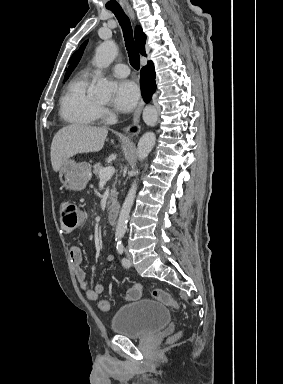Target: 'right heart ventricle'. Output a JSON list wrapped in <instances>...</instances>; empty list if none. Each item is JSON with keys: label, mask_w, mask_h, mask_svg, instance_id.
<instances>
[{"label": "right heart ventricle", "mask_w": 283, "mask_h": 384, "mask_svg": "<svg viewBox=\"0 0 283 384\" xmlns=\"http://www.w3.org/2000/svg\"><path fill=\"white\" fill-rule=\"evenodd\" d=\"M89 75L79 72L68 81L59 102L61 118L73 128L94 126L101 116V108L87 93Z\"/></svg>", "instance_id": "right-heart-ventricle-1"}]
</instances>
